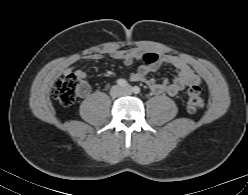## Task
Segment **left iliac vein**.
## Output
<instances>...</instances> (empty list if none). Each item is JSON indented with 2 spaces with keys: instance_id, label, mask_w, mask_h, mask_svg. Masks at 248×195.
I'll list each match as a JSON object with an SVG mask.
<instances>
[{
  "instance_id": "4c4485c4",
  "label": "left iliac vein",
  "mask_w": 248,
  "mask_h": 195,
  "mask_svg": "<svg viewBox=\"0 0 248 195\" xmlns=\"http://www.w3.org/2000/svg\"><path fill=\"white\" fill-rule=\"evenodd\" d=\"M131 91H132V89L130 87H127V88L124 89V92L126 94H129Z\"/></svg>"
}]
</instances>
